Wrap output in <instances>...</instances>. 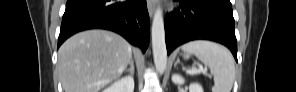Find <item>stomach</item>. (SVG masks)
Instances as JSON below:
<instances>
[{
    "mask_svg": "<svg viewBox=\"0 0 296 92\" xmlns=\"http://www.w3.org/2000/svg\"><path fill=\"white\" fill-rule=\"evenodd\" d=\"M183 57H184L185 59H188V58H189V54H188V53H184V54H183Z\"/></svg>",
    "mask_w": 296,
    "mask_h": 92,
    "instance_id": "1",
    "label": "stomach"
}]
</instances>
